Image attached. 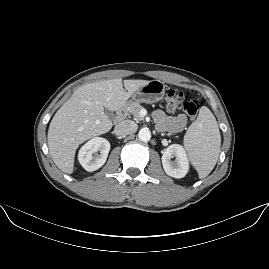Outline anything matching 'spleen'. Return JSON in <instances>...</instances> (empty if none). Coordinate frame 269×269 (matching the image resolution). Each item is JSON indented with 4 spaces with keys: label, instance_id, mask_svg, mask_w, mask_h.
<instances>
[{
    "label": "spleen",
    "instance_id": "spleen-1",
    "mask_svg": "<svg viewBox=\"0 0 269 269\" xmlns=\"http://www.w3.org/2000/svg\"><path fill=\"white\" fill-rule=\"evenodd\" d=\"M184 142L199 176L206 177L217 162L221 145L218 124L207 107L200 108L197 119L187 130Z\"/></svg>",
    "mask_w": 269,
    "mask_h": 269
}]
</instances>
